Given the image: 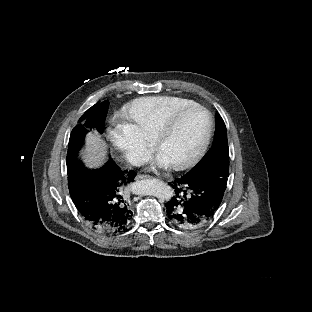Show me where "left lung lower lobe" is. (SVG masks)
Wrapping results in <instances>:
<instances>
[{
	"instance_id": "1",
	"label": "left lung lower lobe",
	"mask_w": 312,
	"mask_h": 312,
	"mask_svg": "<svg viewBox=\"0 0 312 312\" xmlns=\"http://www.w3.org/2000/svg\"><path fill=\"white\" fill-rule=\"evenodd\" d=\"M229 169L211 168L178 178L175 196L166 203L169 221L176 227L195 228L213 219L221 204Z\"/></svg>"
}]
</instances>
